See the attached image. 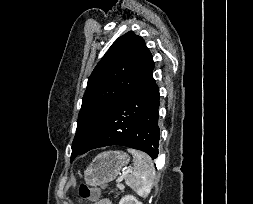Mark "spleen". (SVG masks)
I'll use <instances>...</instances> for the list:
<instances>
[{
    "label": "spleen",
    "mask_w": 253,
    "mask_h": 204,
    "mask_svg": "<svg viewBox=\"0 0 253 204\" xmlns=\"http://www.w3.org/2000/svg\"><path fill=\"white\" fill-rule=\"evenodd\" d=\"M133 155L134 170L127 175L125 182L141 197H146L152 188L155 168L149 155L135 149H128Z\"/></svg>",
    "instance_id": "3e777b00"
}]
</instances>
